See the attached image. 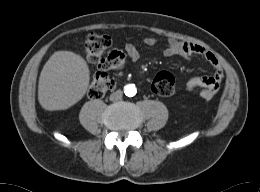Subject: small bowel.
<instances>
[{"label": "small bowel", "instance_id": "c3829d8e", "mask_svg": "<svg viewBox=\"0 0 260 192\" xmlns=\"http://www.w3.org/2000/svg\"><path fill=\"white\" fill-rule=\"evenodd\" d=\"M143 43L146 46L152 47L158 43V40L154 37H146L143 39ZM125 52L128 58L133 62L138 61L141 57L140 50L134 44H126ZM163 55L165 57L179 56L186 60H190L193 56L202 57L212 66L213 74L206 77L191 78L187 82L186 87L188 90L200 89L199 95L203 99H210L218 92L224 79V71L219 60L213 53L200 45L170 38L165 42Z\"/></svg>", "mask_w": 260, "mask_h": 192}]
</instances>
